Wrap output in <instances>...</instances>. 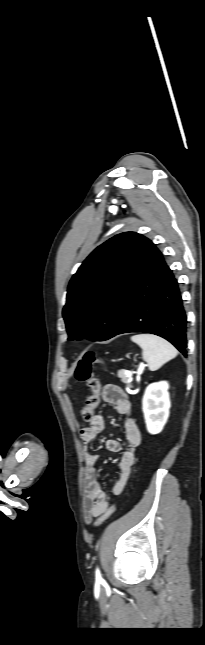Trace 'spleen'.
<instances>
[{
    "label": "spleen",
    "instance_id": "1",
    "mask_svg": "<svg viewBox=\"0 0 205 645\" xmlns=\"http://www.w3.org/2000/svg\"><path fill=\"white\" fill-rule=\"evenodd\" d=\"M131 340L142 348L143 359L151 371L158 370L166 362L177 356L176 348L167 340L153 334H138Z\"/></svg>",
    "mask_w": 205,
    "mask_h": 645
}]
</instances>
